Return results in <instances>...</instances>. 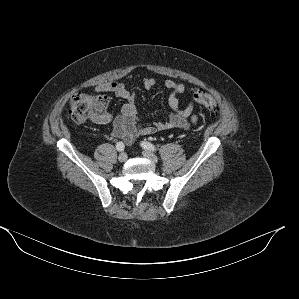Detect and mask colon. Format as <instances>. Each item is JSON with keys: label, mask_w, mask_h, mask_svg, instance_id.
Wrapping results in <instances>:
<instances>
[{"label": "colon", "mask_w": 299, "mask_h": 299, "mask_svg": "<svg viewBox=\"0 0 299 299\" xmlns=\"http://www.w3.org/2000/svg\"><path fill=\"white\" fill-rule=\"evenodd\" d=\"M193 97L211 115L217 114V104L211 94L203 90H196L193 92ZM108 103L109 98L105 95L75 94L69 101L68 118L74 123H82L86 120L97 118L107 107Z\"/></svg>", "instance_id": "obj_1"}]
</instances>
